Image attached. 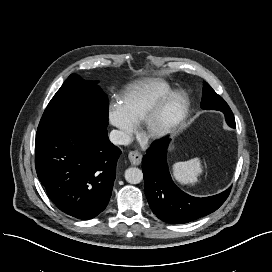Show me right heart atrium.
Returning a JSON list of instances; mask_svg holds the SVG:
<instances>
[{
    "label": "right heart atrium",
    "instance_id": "right-heart-atrium-1",
    "mask_svg": "<svg viewBox=\"0 0 272 272\" xmlns=\"http://www.w3.org/2000/svg\"><path fill=\"white\" fill-rule=\"evenodd\" d=\"M110 123L120 131V138L126 140L135 129V126L126 118L120 105L112 104L108 110Z\"/></svg>",
    "mask_w": 272,
    "mask_h": 272
}]
</instances>
